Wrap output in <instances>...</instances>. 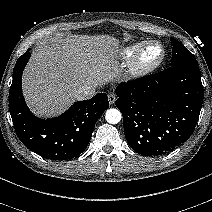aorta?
<instances>
[{
  "label": "aorta",
  "instance_id": "1",
  "mask_svg": "<svg viewBox=\"0 0 212 212\" xmlns=\"http://www.w3.org/2000/svg\"><path fill=\"white\" fill-rule=\"evenodd\" d=\"M122 115L118 109L111 108L105 113V119L110 124H117L121 121Z\"/></svg>",
  "mask_w": 212,
  "mask_h": 212
}]
</instances>
